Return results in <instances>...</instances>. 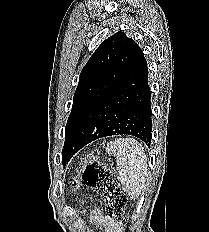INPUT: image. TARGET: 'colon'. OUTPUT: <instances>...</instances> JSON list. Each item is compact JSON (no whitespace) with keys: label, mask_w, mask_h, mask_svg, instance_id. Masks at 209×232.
I'll return each instance as SVG.
<instances>
[{"label":"colon","mask_w":209,"mask_h":232,"mask_svg":"<svg viewBox=\"0 0 209 232\" xmlns=\"http://www.w3.org/2000/svg\"><path fill=\"white\" fill-rule=\"evenodd\" d=\"M82 182L92 188L104 201L109 219L121 221L125 217L127 196L117 183L112 172L97 159H89L82 173Z\"/></svg>","instance_id":"1"}]
</instances>
